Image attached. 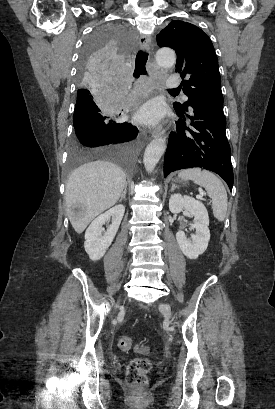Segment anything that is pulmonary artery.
Returning a JSON list of instances; mask_svg holds the SVG:
<instances>
[{"label": "pulmonary artery", "instance_id": "obj_1", "mask_svg": "<svg viewBox=\"0 0 275 409\" xmlns=\"http://www.w3.org/2000/svg\"><path fill=\"white\" fill-rule=\"evenodd\" d=\"M180 75L178 73H172L170 76V79L166 80V87L167 88H179L180 86V81H179ZM184 98L187 99V96L185 95Z\"/></svg>", "mask_w": 275, "mask_h": 409}]
</instances>
